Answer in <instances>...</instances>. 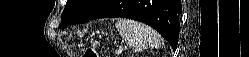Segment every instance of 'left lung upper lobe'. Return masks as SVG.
<instances>
[{
  "label": "left lung upper lobe",
  "instance_id": "left-lung-upper-lobe-1",
  "mask_svg": "<svg viewBox=\"0 0 249 57\" xmlns=\"http://www.w3.org/2000/svg\"><path fill=\"white\" fill-rule=\"evenodd\" d=\"M113 0H68L65 9L62 13V20L60 28L67 27L69 24L84 23L103 10H105L108 5ZM98 4L95 9L94 4Z\"/></svg>",
  "mask_w": 249,
  "mask_h": 57
}]
</instances>
